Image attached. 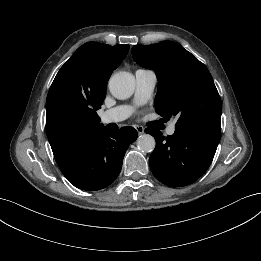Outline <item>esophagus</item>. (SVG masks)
<instances>
[{
	"mask_svg": "<svg viewBox=\"0 0 261 261\" xmlns=\"http://www.w3.org/2000/svg\"><path fill=\"white\" fill-rule=\"evenodd\" d=\"M136 130L138 132L139 135L143 134L144 133V128L142 126H137L136 127Z\"/></svg>",
	"mask_w": 261,
	"mask_h": 261,
	"instance_id": "34e87169",
	"label": "esophagus"
}]
</instances>
